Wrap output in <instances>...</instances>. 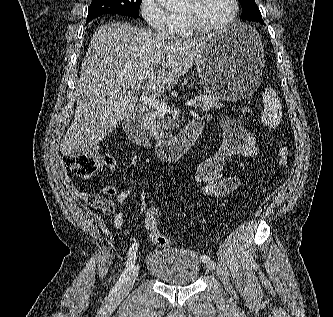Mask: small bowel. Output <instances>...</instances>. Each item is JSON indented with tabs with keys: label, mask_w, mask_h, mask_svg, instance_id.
<instances>
[{
	"label": "small bowel",
	"mask_w": 333,
	"mask_h": 317,
	"mask_svg": "<svg viewBox=\"0 0 333 317\" xmlns=\"http://www.w3.org/2000/svg\"><path fill=\"white\" fill-rule=\"evenodd\" d=\"M224 132V140L218 152L212 158L200 162L194 172V180L199 185L200 192L207 197H223L236 190L240 181L236 177H228L223 174L225 161L232 156L251 157L258 151V140L256 136L240 123L232 119H224L221 122ZM115 164L107 163L108 183L102 189V195L80 191L69 179L66 187L69 192L89 206L101 210L106 215L114 216V226L121 229L124 222L123 205L129 196L137 192L140 199V215H145L147 200L144 191L134 188L119 190L113 180ZM107 196V197H106ZM108 197H115L112 200ZM201 202L195 203L200 208Z\"/></svg>",
	"instance_id": "obj_1"
}]
</instances>
